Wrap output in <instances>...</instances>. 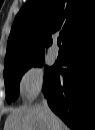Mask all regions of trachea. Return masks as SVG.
Segmentation results:
<instances>
[{"mask_svg":"<svg viewBox=\"0 0 95 130\" xmlns=\"http://www.w3.org/2000/svg\"><path fill=\"white\" fill-rule=\"evenodd\" d=\"M57 44H58L59 47H61V40H60V38L57 39Z\"/></svg>","mask_w":95,"mask_h":130,"instance_id":"1","label":"trachea"}]
</instances>
